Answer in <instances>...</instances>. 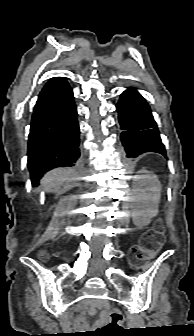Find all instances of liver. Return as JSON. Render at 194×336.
<instances>
[{"label": "liver", "mask_w": 194, "mask_h": 336, "mask_svg": "<svg viewBox=\"0 0 194 336\" xmlns=\"http://www.w3.org/2000/svg\"><path fill=\"white\" fill-rule=\"evenodd\" d=\"M74 174L70 168H56L49 171L41 180V183L47 192H53L69 180Z\"/></svg>", "instance_id": "liver-1"}]
</instances>
